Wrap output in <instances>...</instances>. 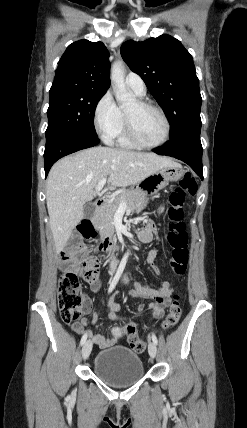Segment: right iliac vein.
Wrapping results in <instances>:
<instances>
[{
	"label": "right iliac vein",
	"mask_w": 247,
	"mask_h": 428,
	"mask_svg": "<svg viewBox=\"0 0 247 428\" xmlns=\"http://www.w3.org/2000/svg\"><path fill=\"white\" fill-rule=\"evenodd\" d=\"M91 350H92V341L91 340H87L84 343L83 348H82V358L84 360H86L89 357V355L91 353Z\"/></svg>",
	"instance_id": "1"
}]
</instances>
